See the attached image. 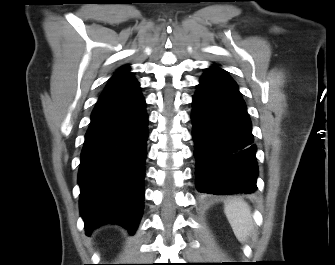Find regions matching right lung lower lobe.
I'll use <instances>...</instances> for the list:
<instances>
[{
    "instance_id": "98d812e1",
    "label": "right lung lower lobe",
    "mask_w": 335,
    "mask_h": 265,
    "mask_svg": "<svg viewBox=\"0 0 335 265\" xmlns=\"http://www.w3.org/2000/svg\"><path fill=\"white\" fill-rule=\"evenodd\" d=\"M140 90L99 100L85 135L78 174L86 234L106 222L133 234L143 212L148 116Z\"/></svg>"
}]
</instances>
